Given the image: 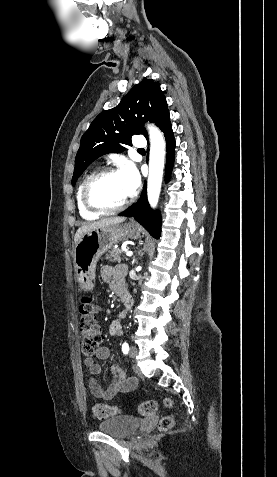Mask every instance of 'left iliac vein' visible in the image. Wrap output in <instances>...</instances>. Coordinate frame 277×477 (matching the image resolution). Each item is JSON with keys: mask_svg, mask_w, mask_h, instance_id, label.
Returning <instances> with one entry per match:
<instances>
[{"mask_svg": "<svg viewBox=\"0 0 277 477\" xmlns=\"http://www.w3.org/2000/svg\"><path fill=\"white\" fill-rule=\"evenodd\" d=\"M138 354V350L135 346H131L130 349H129V356L132 358V359H135L136 356Z\"/></svg>", "mask_w": 277, "mask_h": 477, "instance_id": "left-iliac-vein-1", "label": "left iliac vein"}]
</instances>
